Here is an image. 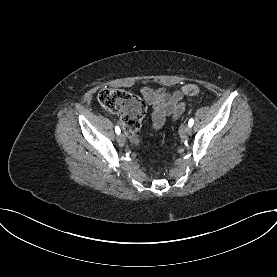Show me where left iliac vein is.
Here are the masks:
<instances>
[{"label":"left iliac vein","mask_w":277,"mask_h":277,"mask_svg":"<svg viewBox=\"0 0 277 277\" xmlns=\"http://www.w3.org/2000/svg\"><path fill=\"white\" fill-rule=\"evenodd\" d=\"M181 131H182V133L188 135V134H191L192 129H191V127L189 125L186 124V125L182 126Z\"/></svg>","instance_id":"left-iliac-vein-1"}]
</instances>
